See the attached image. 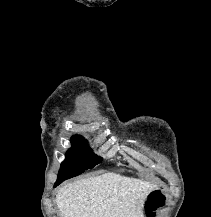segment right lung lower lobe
<instances>
[{
    "mask_svg": "<svg viewBox=\"0 0 211 217\" xmlns=\"http://www.w3.org/2000/svg\"><path fill=\"white\" fill-rule=\"evenodd\" d=\"M64 180H57L54 187H56L57 185H59L61 182H63Z\"/></svg>",
    "mask_w": 211,
    "mask_h": 217,
    "instance_id": "98d812e1",
    "label": "right lung lower lobe"
}]
</instances>
